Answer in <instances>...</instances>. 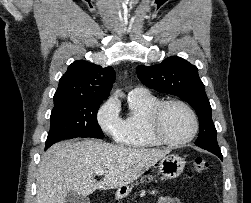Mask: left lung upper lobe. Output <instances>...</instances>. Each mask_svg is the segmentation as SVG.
<instances>
[{"label":"left lung upper lobe","mask_w":251,"mask_h":203,"mask_svg":"<svg viewBox=\"0 0 251 203\" xmlns=\"http://www.w3.org/2000/svg\"><path fill=\"white\" fill-rule=\"evenodd\" d=\"M136 72L147 87L178 96L189 103L200 122V132L195 144L210 152H220L217 131L211 116L212 108L196 66L183 58L171 56L158 65H139Z\"/></svg>","instance_id":"5c2ea615"}]
</instances>
